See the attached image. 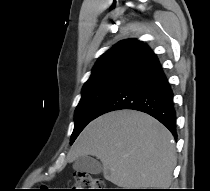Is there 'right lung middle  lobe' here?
Instances as JSON below:
<instances>
[{"label": "right lung middle lobe", "instance_id": "right-lung-middle-lobe-1", "mask_svg": "<svg viewBox=\"0 0 210 191\" xmlns=\"http://www.w3.org/2000/svg\"><path fill=\"white\" fill-rule=\"evenodd\" d=\"M130 58L128 55L118 56L93 70L83 86L82 97L75 110V126L70 144H73L85 126L95 119L99 105L118 81Z\"/></svg>", "mask_w": 210, "mask_h": 191}]
</instances>
